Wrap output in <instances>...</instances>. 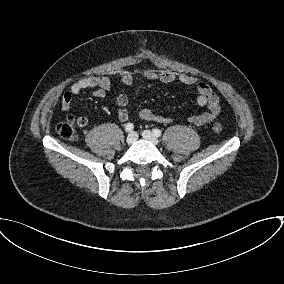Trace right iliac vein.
<instances>
[{
    "instance_id": "63e3f726",
    "label": "right iliac vein",
    "mask_w": 284,
    "mask_h": 284,
    "mask_svg": "<svg viewBox=\"0 0 284 284\" xmlns=\"http://www.w3.org/2000/svg\"><path fill=\"white\" fill-rule=\"evenodd\" d=\"M137 138H138L137 134L135 132H131L128 134L126 142L128 145H131L137 140Z\"/></svg>"
}]
</instances>
